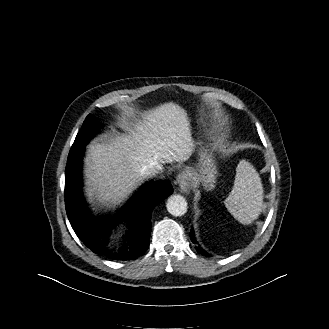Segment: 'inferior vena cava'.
I'll return each mask as SVG.
<instances>
[{
  "mask_svg": "<svg viewBox=\"0 0 329 329\" xmlns=\"http://www.w3.org/2000/svg\"><path fill=\"white\" fill-rule=\"evenodd\" d=\"M163 167L161 164L153 162L151 164L145 165L142 169H141V175L144 178L147 177H153L156 174L162 172Z\"/></svg>",
  "mask_w": 329,
  "mask_h": 329,
  "instance_id": "inferior-vena-cava-1",
  "label": "inferior vena cava"
}]
</instances>
